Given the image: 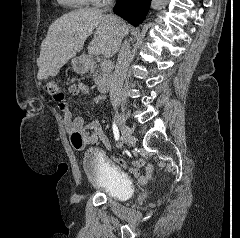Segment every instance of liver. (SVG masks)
<instances>
[{
	"label": "liver",
	"mask_w": 240,
	"mask_h": 238,
	"mask_svg": "<svg viewBox=\"0 0 240 238\" xmlns=\"http://www.w3.org/2000/svg\"><path fill=\"white\" fill-rule=\"evenodd\" d=\"M94 29L96 31L88 50L95 49L97 54L106 58L118 52L122 38L128 33L125 23H115L99 9H78L61 16L52 23L42 41L37 61L38 80L56 76L83 49L84 42Z\"/></svg>",
	"instance_id": "1"
}]
</instances>
